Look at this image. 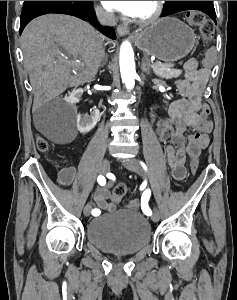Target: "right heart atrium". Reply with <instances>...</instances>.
<instances>
[{
    "label": "right heart atrium",
    "mask_w": 237,
    "mask_h": 300,
    "mask_svg": "<svg viewBox=\"0 0 237 300\" xmlns=\"http://www.w3.org/2000/svg\"><path fill=\"white\" fill-rule=\"evenodd\" d=\"M95 15L99 22L103 24H112L115 20L114 15L111 12H108L101 6L95 7Z\"/></svg>",
    "instance_id": "right-heart-atrium-1"
}]
</instances>
